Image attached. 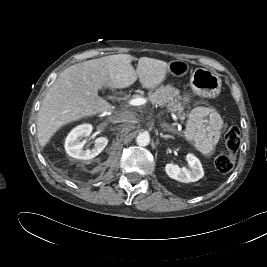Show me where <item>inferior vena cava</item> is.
Here are the masks:
<instances>
[{
    "instance_id": "1",
    "label": "inferior vena cava",
    "mask_w": 267,
    "mask_h": 267,
    "mask_svg": "<svg viewBox=\"0 0 267 267\" xmlns=\"http://www.w3.org/2000/svg\"><path fill=\"white\" fill-rule=\"evenodd\" d=\"M112 120L114 122L127 123V125L129 127H132L131 125H133V124L138 122V119H137L135 113L134 112H130V111L119 112L112 118Z\"/></svg>"
}]
</instances>
